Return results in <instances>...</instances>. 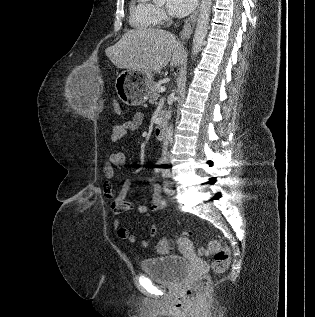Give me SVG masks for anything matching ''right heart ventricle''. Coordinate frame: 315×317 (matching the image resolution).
Returning a JSON list of instances; mask_svg holds the SVG:
<instances>
[{
  "mask_svg": "<svg viewBox=\"0 0 315 317\" xmlns=\"http://www.w3.org/2000/svg\"><path fill=\"white\" fill-rule=\"evenodd\" d=\"M129 21L135 28L147 29L158 25L160 19L150 0H131Z\"/></svg>",
  "mask_w": 315,
  "mask_h": 317,
  "instance_id": "1",
  "label": "right heart ventricle"
}]
</instances>
